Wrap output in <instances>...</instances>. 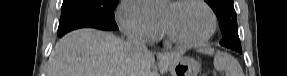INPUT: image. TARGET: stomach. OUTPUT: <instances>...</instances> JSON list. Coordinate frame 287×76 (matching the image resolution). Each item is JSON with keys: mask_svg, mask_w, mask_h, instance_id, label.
<instances>
[{"mask_svg": "<svg viewBox=\"0 0 287 76\" xmlns=\"http://www.w3.org/2000/svg\"><path fill=\"white\" fill-rule=\"evenodd\" d=\"M200 63L190 57H179L169 67L170 76H197Z\"/></svg>", "mask_w": 287, "mask_h": 76, "instance_id": "obj_1", "label": "stomach"}]
</instances>
